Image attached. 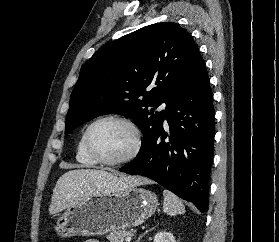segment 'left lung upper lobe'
Wrapping results in <instances>:
<instances>
[{
  "mask_svg": "<svg viewBox=\"0 0 279 242\" xmlns=\"http://www.w3.org/2000/svg\"><path fill=\"white\" fill-rule=\"evenodd\" d=\"M198 54L190 34L173 22L152 24L104 45L81 68L65 134L100 115L121 114L142 130L138 155L145 153ZM163 102L166 110L154 112Z\"/></svg>",
  "mask_w": 279,
  "mask_h": 242,
  "instance_id": "obj_1",
  "label": "left lung upper lobe"
}]
</instances>
